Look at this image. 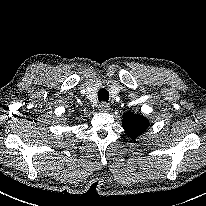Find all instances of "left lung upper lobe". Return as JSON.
<instances>
[{
    "label": "left lung upper lobe",
    "instance_id": "1",
    "mask_svg": "<svg viewBox=\"0 0 206 206\" xmlns=\"http://www.w3.org/2000/svg\"><path fill=\"white\" fill-rule=\"evenodd\" d=\"M122 124L126 133L132 139H135L137 136L144 133V131L148 128L149 121L141 115L127 113L123 116Z\"/></svg>",
    "mask_w": 206,
    "mask_h": 206
}]
</instances>
